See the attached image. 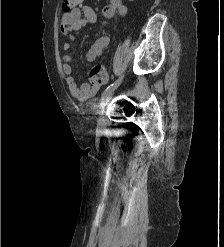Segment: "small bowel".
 Here are the masks:
<instances>
[{
    "label": "small bowel",
    "mask_w": 224,
    "mask_h": 247,
    "mask_svg": "<svg viewBox=\"0 0 224 247\" xmlns=\"http://www.w3.org/2000/svg\"><path fill=\"white\" fill-rule=\"evenodd\" d=\"M128 12L127 6L122 0H109L103 9L106 18L113 19L116 17H124ZM97 15L89 6L75 7L69 12H65L61 17V32L64 35L62 42V50L67 52L71 47V42L87 24H96ZM109 44V37L104 35L98 38L88 49L86 59L89 62L99 58ZM62 71L66 75V84L71 95L79 100H87L92 97L99 89L98 84L83 83L78 86L72 76V68L70 65L71 56L64 55Z\"/></svg>",
    "instance_id": "1"
}]
</instances>
